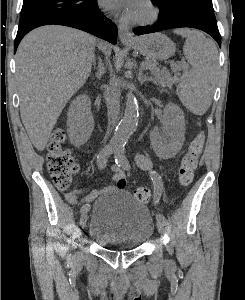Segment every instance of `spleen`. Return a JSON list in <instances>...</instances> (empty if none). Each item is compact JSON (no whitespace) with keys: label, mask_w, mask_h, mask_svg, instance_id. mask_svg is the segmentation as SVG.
Segmentation results:
<instances>
[{"label":"spleen","mask_w":245,"mask_h":300,"mask_svg":"<svg viewBox=\"0 0 245 300\" xmlns=\"http://www.w3.org/2000/svg\"><path fill=\"white\" fill-rule=\"evenodd\" d=\"M176 34L186 38L183 52L190 70L185 71L177 86L183 105L196 115H203L210 107L218 65L215 44L195 30L179 29Z\"/></svg>","instance_id":"1"}]
</instances>
